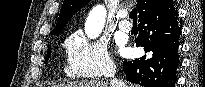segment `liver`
<instances>
[{"label": "liver", "instance_id": "obj_1", "mask_svg": "<svg viewBox=\"0 0 205 87\" xmlns=\"http://www.w3.org/2000/svg\"><path fill=\"white\" fill-rule=\"evenodd\" d=\"M55 87H111V84L103 80L74 81L67 84L56 85Z\"/></svg>", "mask_w": 205, "mask_h": 87}]
</instances>
